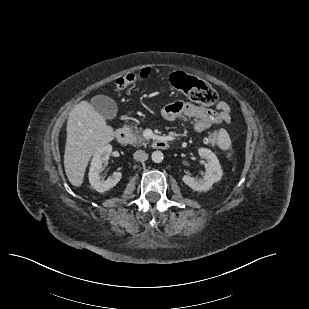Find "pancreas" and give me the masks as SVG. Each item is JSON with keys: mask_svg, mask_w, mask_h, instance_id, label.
<instances>
[{"mask_svg": "<svg viewBox=\"0 0 309 309\" xmlns=\"http://www.w3.org/2000/svg\"><path fill=\"white\" fill-rule=\"evenodd\" d=\"M133 128H134V129H132V134H133L132 144H133V146L138 147V146L147 145L148 139H146L142 136V129L138 128L137 126H134Z\"/></svg>", "mask_w": 309, "mask_h": 309, "instance_id": "obj_1", "label": "pancreas"}]
</instances>
